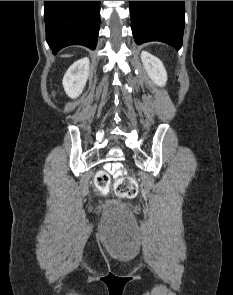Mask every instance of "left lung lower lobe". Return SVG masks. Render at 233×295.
I'll list each match as a JSON object with an SVG mask.
<instances>
[{
	"label": "left lung lower lobe",
	"mask_w": 233,
	"mask_h": 295,
	"mask_svg": "<svg viewBox=\"0 0 233 295\" xmlns=\"http://www.w3.org/2000/svg\"><path fill=\"white\" fill-rule=\"evenodd\" d=\"M129 4L132 33L137 44L161 41L181 48L184 1H129Z\"/></svg>",
	"instance_id": "obj_1"
}]
</instances>
